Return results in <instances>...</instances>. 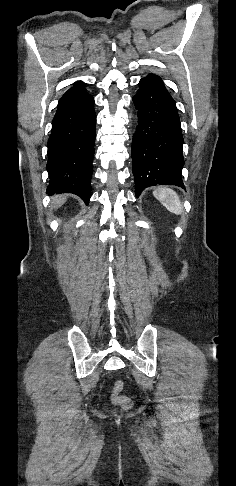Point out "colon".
<instances>
[{
    "instance_id": "colon-1",
    "label": "colon",
    "mask_w": 236,
    "mask_h": 486,
    "mask_svg": "<svg viewBox=\"0 0 236 486\" xmlns=\"http://www.w3.org/2000/svg\"><path fill=\"white\" fill-rule=\"evenodd\" d=\"M124 384L118 380L114 383L111 391V401L113 404L120 406L124 410H128L132 407V400L128 396L122 395Z\"/></svg>"
}]
</instances>
